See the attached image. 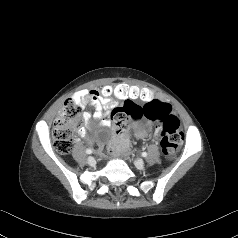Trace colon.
<instances>
[{
	"label": "colon",
	"mask_w": 238,
	"mask_h": 238,
	"mask_svg": "<svg viewBox=\"0 0 238 238\" xmlns=\"http://www.w3.org/2000/svg\"><path fill=\"white\" fill-rule=\"evenodd\" d=\"M98 93L103 98L120 100L124 103L111 111V120L114 124V137L108 146L111 154L116 155L124 151L126 143L124 136L127 131L129 118H146L161 123V148L164 156L174 155L184 141V133L177 116L172 114L171 106L167 103L150 100L152 92L147 87L125 85L123 83H103L98 88ZM147 102L143 107L132 101ZM150 100V101H149ZM82 119V106L73 99H68L57 117L52 135L54 148L60 154H67L73 147V132L80 126Z\"/></svg>",
	"instance_id": "5ec220e1"
}]
</instances>
